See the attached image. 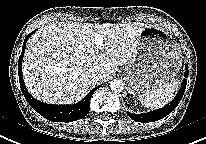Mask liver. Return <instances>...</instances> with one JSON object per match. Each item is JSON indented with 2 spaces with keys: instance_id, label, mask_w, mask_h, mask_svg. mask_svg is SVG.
Masks as SVG:
<instances>
[{
  "instance_id": "obj_1",
  "label": "liver",
  "mask_w": 206,
  "mask_h": 144,
  "mask_svg": "<svg viewBox=\"0 0 206 144\" xmlns=\"http://www.w3.org/2000/svg\"><path fill=\"white\" fill-rule=\"evenodd\" d=\"M144 23L92 24L58 22L39 29L29 40L23 59L28 91L40 101L68 104L80 101L96 82L88 69H99L102 78L116 72L136 53ZM104 44L98 49L95 35Z\"/></svg>"
}]
</instances>
